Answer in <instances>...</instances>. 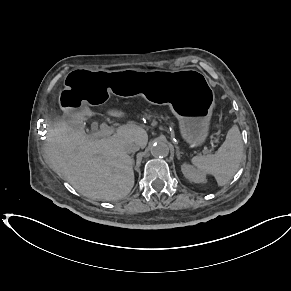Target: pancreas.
<instances>
[{"mask_svg": "<svg viewBox=\"0 0 291 291\" xmlns=\"http://www.w3.org/2000/svg\"><path fill=\"white\" fill-rule=\"evenodd\" d=\"M142 117H145L148 121L159 122L169 124L174 127L175 124L168 115H164L159 109H145L142 111Z\"/></svg>", "mask_w": 291, "mask_h": 291, "instance_id": "obj_1", "label": "pancreas"}]
</instances>
